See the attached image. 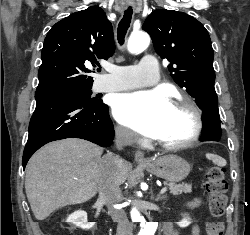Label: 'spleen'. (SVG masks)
<instances>
[{
	"mask_svg": "<svg viewBox=\"0 0 250 235\" xmlns=\"http://www.w3.org/2000/svg\"><path fill=\"white\" fill-rule=\"evenodd\" d=\"M206 157L208 159L212 160L218 166H225L226 165V161L217 155L207 154Z\"/></svg>",
	"mask_w": 250,
	"mask_h": 235,
	"instance_id": "1",
	"label": "spleen"
}]
</instances>
